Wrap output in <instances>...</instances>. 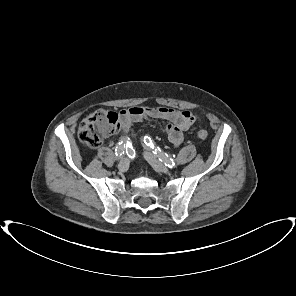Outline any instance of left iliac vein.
<instances>
[{"instance_id": "left-iliac-vein-1", "label": "left iliac vein", "mask_w": 296, "mask_h": 296, "mask_svg": "<svg viewBox=\"0 0 296 296\" xmlns=\"http://www.w3.org/2000/svg\"><path fill=\"white\" fill-rule=\"evenodd\" d=\"M144 157L156 171L163 173L169 172V169L163 163H161L152 153L146 151L144 153Z\"/></svg>"}]
</instances>
